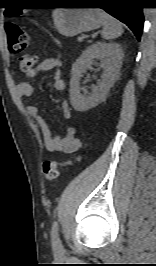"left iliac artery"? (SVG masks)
I'll return each instance as SVG.
<instances>
[{"label":"left iliac artery","instance_id":"left-iliac-artery-1","mask_svg":"<svg viewBox=\"0 0 156 266\" xmlns=\"http://www.w3.org/2000/svg\"><path fill=\"white\" fill-rule=\"evenodd\" d=\"M58 231H59L58 222L54 221V223L52 225L51 236H52V241L55 245H60V239H59Z\"/></svg>","mask_w":156,"mask_h":266}]
</instances>
